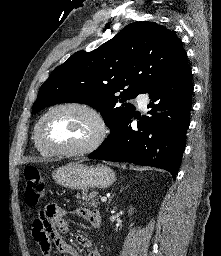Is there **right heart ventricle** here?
Masks as SVG:
<instances>
[{"mask_svg": "<svg viewBox=\"0 0 221 256\" xmlns=\"http://www.w3.org/2000/svg\"><path fill=\"white\" fill-rule=\"evenodd\" d=\"M34 141H35V139H34ZM35 147H36V149L42 154V155H50V153H48V152H46V151H44L43 149H41L39 146H38V144H37V142L35 141Z\"/></svg>", "mask_w": 221, "mask_h": 256, "instance_id": "1", "label": "right heart ventricle"}]
</instances>
